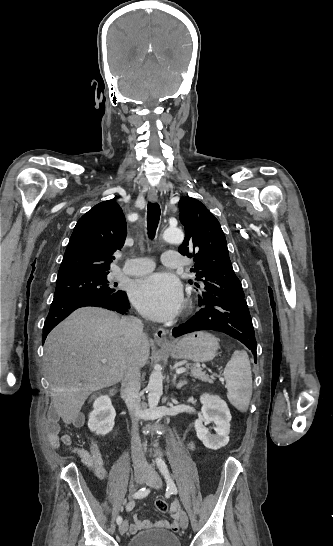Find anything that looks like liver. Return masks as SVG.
<instances>
[{"label": "liver", "instance_id": "liver-1", "mask_svg": "<svg viewBox=\"0 0 333 546\" xmlns=\"http://www.w3.org/2000/svg\"><path fill=\"white\" fill-rule=\"evenodd\" d=\"M120 321L108 310L80 308L47 336L45 370L52 403L64 423L77 419L93 391L120 382L132 360L139 368L145 366L150 353L147 336L132 354Z\"/></svg>", "mask_w": 333, "mask_h": 546}]
</instances>
